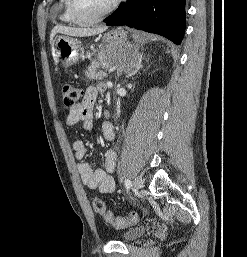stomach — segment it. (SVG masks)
<instances>
[{
  "mask_svg": "<svg viewBox=\"0 0 247 257\" xmlns=\"http://www.w3.org/2000/svg\"><path fill=\"white\" fill-rule=\"evenodd\" d=\"M133 37L138 38L136 33ZM54 51L65 66L76 63L80 58L81 43L75 38L57 36L54 39ZM140 54L138 48L129 42L128 33L121 28L113 29L102 38L99 59L111 66L127 72L138 65Z\"/></svg>",
  "mask_w": 247,
  "mask_h": 257,
  "instance_id": "obj_1",
  "label": "stomach"
}]
</instances>
